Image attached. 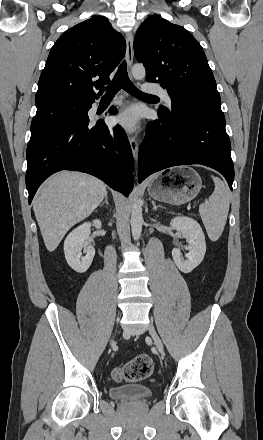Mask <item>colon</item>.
Here are the masks:
<instances>
[{
  "instance_id": "1",
  "label": "colon",
  "mask_w": 263,
  "mask_h": 440,
  "mask_svg": "<svg viewBox=\"0 0 263 440\" xmlns=\"http://www.w3.org/2000/svg\"><path fill=\"white\" fill-rule=\"evenodd\" d=\"M153 371V361L147 354H141L113 371V378L118 382L135 383L149 377Z\"/></svg>"
}]
</instances>
